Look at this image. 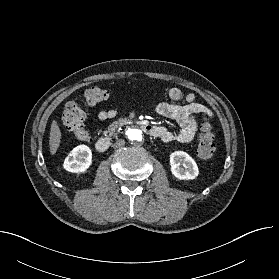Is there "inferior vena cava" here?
<instances>
[{
    "label": "inferior vena cava",
    "instance_id": "inferior-vena-cava-1",
    "mask_svg": "<svg viewBox=\"0 0 279 279\" xmlns=\"http://www.w3.org/2000/svg\"><path fill=\"white\" fill-rule=\"evenodd\" d=\"M125 145V141L123 139H119L114 143L115 148H119Z\"/></svg>",
    "mask_w": 279,
    "mask_h": 279
}]
</instances>
